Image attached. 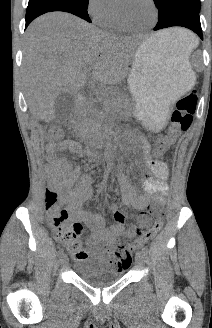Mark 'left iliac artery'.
I'll list each match as a JSON object with an SVG mask.
<instances>
[{
    "label": "left iliac artery",
    "mask_w": 212,
    "mask_h": 328,
    "mask_svg": "<svg viewBox=\"0 0 212 328\" xmlns=\"http://www.w3.org/2000/svg\"><path fill=\"white\" fill-rule=\"evenodd\" d=\"M142 251L146 254V253L148 252V248H147V246H143V247H142Z\"/></svg>",
    "instance_id": "left-iliac-artery-1"
}]
</instances>
